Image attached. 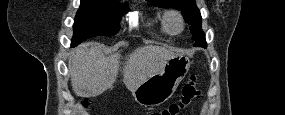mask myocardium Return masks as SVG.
<instances>
[{
    "mask_svg": "<svg viewBox=\"0 0 285 115\" xmlns=\"http://www.w3.org/2000/svg\"><path fill=\"white\" fill-rule=\"evenodd\" d=\"M166 24L173 34H178L184 29L183 15L177 10H171L165 14Z\"/></svg>",
    "mask_w": 285,
    "mask_h": 115,
    "instance_id": "obj_1",
    "label": "myocardium"
}]
</instances>
